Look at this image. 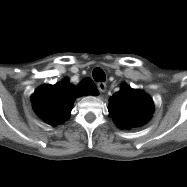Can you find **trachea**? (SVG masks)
Listing matches in <instances>:
<instances>
[{
  "label": "trachea",
  "mask_w": 187,
  "mask_h": 187,
  "mask_svg": "<svg viewBox=\"0 0 187 187\" xmlns=\"http://www.w3.org/2000/svg\"><path fill=\"white\" fill-rule=\"evenodd\" d=\"M93 79L95 81H102L104 82L106 80V76L104 71L101 68H95L92 72Z\"/></svg>",
  "instance_id": "obj_1"
}]
</instances>
